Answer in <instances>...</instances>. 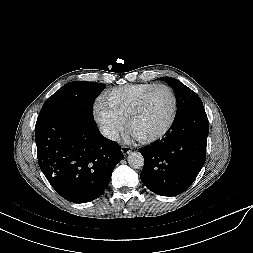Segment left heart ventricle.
I'll return each mask as SVG.
<instances>
[{"label": "left heart ventricle", "instance_id": "obj_1", "mask_svg": "<svg viewBox=\"0 0 253 253\" xmlns=\"http://www.w3.org/2000/svg\"><path fill=\"white\" fill-rule=\"evenodd\" d=\"M173 110L170 93L163 87L151 91L130 131L138 137L161 131L169 122Z\"/></svg>", "mask_w": 253, "mask_h": 253}]
</instances>
